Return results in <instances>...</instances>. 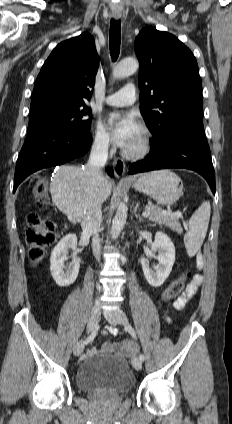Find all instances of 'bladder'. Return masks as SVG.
<instances>
[{
    "mask_svg": "<svg viewBox=\"0 0 232 424\" xmlns=\"http://www.w3.org/2000/svg\"><path fill=\"white\" fill-rule=\"evenodd\" d=\"M76 385L89 392L108 391L123 394L135 385L128 361L115 356H93L81 363L76 372Z\"/></svg>",
    "mask_w": 232,
    "mask_h": 424,
    "instance_id": "1",
    "label": "bladder"
}]
</instances>
